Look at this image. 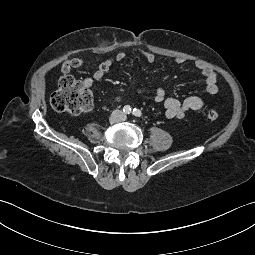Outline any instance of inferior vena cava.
Returning <instances> with one entry per match:
<instances>
[{
    "label": "inferior vena cava",
    "instance_id": "inferior-vena-cava-1",
    "mask_svg": "<svg viewBox=\"0 0 255 255\" xmlns=\"http://www.w3.org/2000/svg\"><path fill=\"white\" fill-rule=\"evenodd\" d=\"M112 117L115 122H119L124 119V114L121 110H114L112 112Z\"/></svg>",
    "mask_w": 255,
    "mask_h": 255
}]
</instances>
